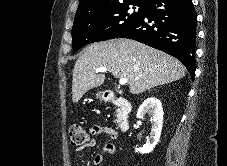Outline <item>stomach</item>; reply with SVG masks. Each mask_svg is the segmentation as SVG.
Returning a JSON list of instances; mask_svg holds the SVG:
<instances>
[{"label":"stomach","mask_w":227,"mask_h":166,"mask_svg":"<svg viewBox=\"0 0 227 166\" xmlns=\"http://www.w3.org/2000/svg\"><path fill=\"white\" fill-rule=\"evenodd\" d=\"M96 96H97V98H99V99H103V98H104L103 92H97Z\"/></svg>","instance_id":"stomach-1"}]
</instances>
